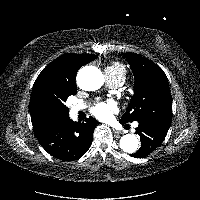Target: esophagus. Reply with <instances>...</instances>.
<instances>
[{
    "mask_svg": "<svg viewBox=\"0 0 200 200\" xmlns=\"http://www.w3.org/2000/svg\"><path fill=\"white\" fill-rule=\"evenodd\" d=\"M112 131L114 132V133H116V134H119L120 132L118 131V130H116V129H112Z\"/></svg>",
    "mask_w": 200,
    "mask_h": 200,
    "instance_id": "esophagus-1",
    "label": "esophagus"
}]
</instances>
